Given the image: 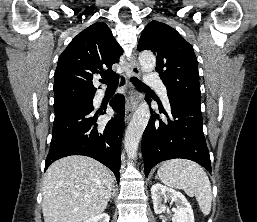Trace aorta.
<instances>
[{"label": "aorta", "instance_id": "obj_1", "mask_svg": "<svg viewBox=\"0 0 257 222\" xmlns=\"http://www.w3.org/2000/svg\"><path fill=\"white\" fill-rule=\"evenodd\" d=\"M139 63L143 72H151L156 66V59L151 52H142L139 55ZM149 119V106L143 102L135 111L125 133L124 147L127 156L131 159L137 156V149Z\"/></svg>", "mask_w": 257, "mask_h": 222}]
</instances>
